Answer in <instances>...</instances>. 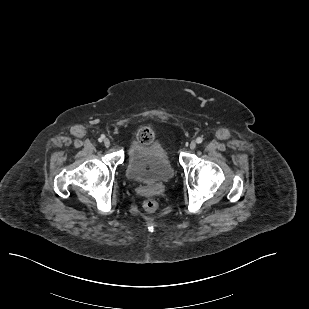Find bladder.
<instances>
[{"label":"bladder","instance_id":"bladder-1","mask_svg":"<svg viewBox=\"0 0 309 309\" xmlns=\"http://www.w3.org/2000/svg\"><path fill=\"white\" fill-rule=\"evenodd\" d=\"M125 174L130 181L150 184L170 181L175 171L158 141H135L128 149Z\"/></svg>","mask_w":309,"mask_h":309}]
</instances>
